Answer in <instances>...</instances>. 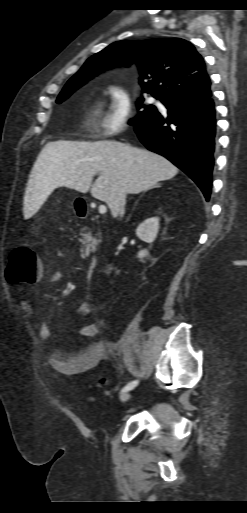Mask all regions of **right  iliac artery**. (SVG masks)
I'll return each mask as SVG.
<instances>
[{"mask_svg": "<svg viewBox=\"0 0 247 513\" xmlns=\"http://www.w3.org/2000/svg\"><path fill=\"white\" fill-rule=\"evenodd\" d=\"M137 384H138V380H134V381H132V382L128 383V384H127V385H126V386L121 390V392H127V391H129V390L133 389L135 386H137Z\"/></svg>", "mask_w": 247, "mask_h": 513, "instance_id": "82829eb1", "label": "right iliac artery"}]
</instances>
